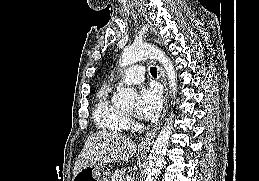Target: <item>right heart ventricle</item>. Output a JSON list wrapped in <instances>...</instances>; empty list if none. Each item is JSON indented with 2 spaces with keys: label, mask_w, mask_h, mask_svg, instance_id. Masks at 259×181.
Returning <instances> with one entry per match:
<instances>
[{
  "label": "right heart ventricle",
  "mask_w": 259,
  "mask_h": 181,
  "mask_svg": "<svg viewBox=\"0 0 259 181\" xmlns=\"http://www.w3.org/2000/svg\"><path fill=\"white\" fill-rule=\"evenodd\" d=\"M110 91L109 86H103L98 91L92 113L93 121L103 131L121 133L128 127L127 118L120 109L110 102Z\"/></svg>",
  "instance_id": "obj_1"
}]
</instances>
